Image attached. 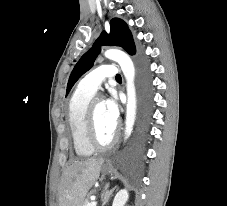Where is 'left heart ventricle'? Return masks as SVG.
I'll return each instance as SVG.
<instances>
[{
    "label": "left heart ventricle",
    "mask_w": 227,
    "mask_h": 206,
    "mask_svg": "<svg viewBox=\"0 0 227 206\" xmlns=\"http://www.w3.org/2000/svg\"><path fill=\"white\" fill-rule=\"evenodd\" d=\"M95 113L97 136L102 143H107L112 138L116 127H114L108 120L103 101L100 100L97 102Z\"/></svg>",
    "instance_id": "obj_1"
}]
</instances>
